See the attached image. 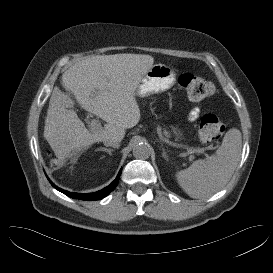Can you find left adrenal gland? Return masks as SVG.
Instances as JSON below:
<instances>
[{"mask_svg":"<svg viewBox=\"0 0 273 273\" xmlns=\"http://www.w3.org/2000/svg\"><path fill=\"white\" fill-rule=\"evenodd\" d=\"M161 148H162V151H163V157H164L166 160H168V156H167L166 150H165L163 147H161Z\"/></svg>","mask_w":273,"mask_h":273,"instance_id":"a2214340","label":"left adrenal gland"}]
</instances>
